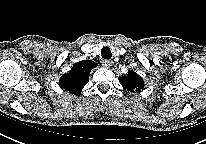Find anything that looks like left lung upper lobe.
<instances>
[{
    "label": "left lung upper lobe",
    "mask_w": 206,
    "mask_h": 144,
    "mask_svg": "<svg viewBox=\"0 0 206 144\" xmlns=\"http://www.w3.org/2000/svg\"><path fill=\"white\" fill-rule=\"evenodd\" d=\"M120 84L128 92H140L144 88L143 79L134 71L130 70L126 76L119 77Z\"/></svg>",
    "instance_id": "5c2ea615"
}]
</instances>
